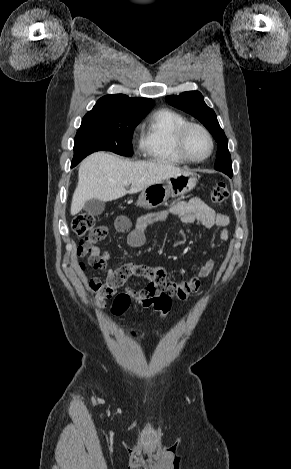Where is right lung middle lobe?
<instances>
[{
  "mask_svg": "<svg viewBox=\"0 0 291 469\" xmlns=\"http://www.w3.org/2000/svg\"><path fill=\"white\" fill-rule=\"evenodd\" d=\"M141 119L84 116L75 136L71 167L76 166L83 158L96 151H111L122 156H132L131 138L134 128Z\"/></svg>",
  "mask_w": 291,
  "mask_h": 469,
  "instance_id": "1",
  "label": "right lung middle lobe"
}]
</instances>
